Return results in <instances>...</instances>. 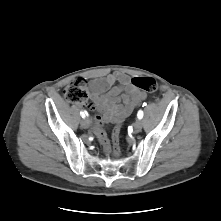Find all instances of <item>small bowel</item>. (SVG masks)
<instances>
[{
	"instance_id": "c3829d8e",
	"label": "small bowel",
	"mask_w": 221,
	"mask_h": 221,
	"mask_svg": "<svg viewBox=\"0 0 221 221\" xmlns=\"http://www.w3.org/2000/svg\"><path fill=\"white\" fill-rule=\"evenodd\" d=\"M92 98L97 108L107 110V120L122 124L134 108L146 98V93L132 84L129 75L123 72H113L104 78L96 79L89 84ZM96 124L103 118L96 114Z\"/></svg>"
}]
</instances>
